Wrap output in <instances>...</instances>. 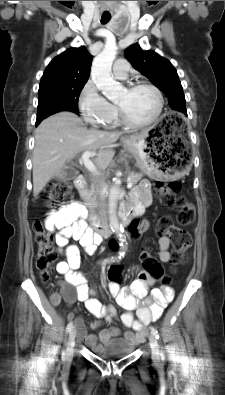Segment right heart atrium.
I'll use <instances>...</instances> for the list:
<instances>
[{"label":"right heart atrium","mask_w":225,"mask_h":395,"mask_svg":"<svg viewBox=\"0 0 225 395\" xmlns=\"http://www.w3.org/2000/svg\"><path fill=\"white\" fill-rule=\"evenodd\" d=\"M78 104L84 121L93 127H107L117 117L116 108L99 93L92 81L84 85Z\"/></svg>","instance_id":"right-heart-atrium-1"}]
</instances>
